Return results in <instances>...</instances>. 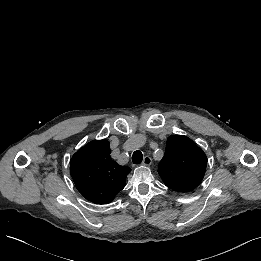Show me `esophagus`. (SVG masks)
Wrapping results in <instances>:
<instances>
[{"label": "esophagus", "instance_id": "34e87169", "mask_svg": "<svg viewBox=\"0 0 261 261\" xmlns=\"http://www.w3.org/2000/svg\"><path fill=\"white\" fill-rule=\"evenodd\" d=\"M151 163H152V159L149 157V156H146L144 159H143V165L144 166H149V165H151Z\"/></svg>", "mask_w": 261, "mask_h": 261}]
</instances>
